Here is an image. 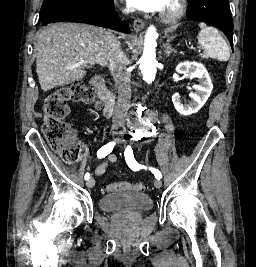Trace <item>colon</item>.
Wrapping results in <instances>:
<instances>
[{
  "label": "colon",
  "mask_w": 256,
  "mask_h": 267,
  "mask_svg": "<svg viewBox=\"0 0 256 267\" xmlns=\"http://www.w3.org/2000/svg\"><path fill=\"white\" fill-rule=\"evenodd\" d=\"M69 103L94 105L95 97L92 90L82 82L74 81L69 86L50 93L44 101L43 132L46 141L64 162L70 164L84 155L86 149L74 143L73 133L64 121L70 112ZM146 188L142 183L114 182L105 184L104 192H142Z\"/></svg>",
  "instance_id": "obj_1"
}]
</instances>
